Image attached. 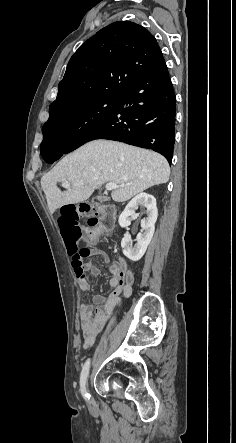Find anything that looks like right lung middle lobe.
<instances>
[{
  "mask_svg": "<svg viewBox=\"0 0 236 443\" xmlns=\"http://www.w3.org/2000/svg\"><path fill=\"white\" fill-rule=\"evenodd\" d=\"M118 96L99 95L67 111L49 117L42 128L46 146H67L71 140L85 132L92 124L104 116L113 106Z\"/></svg>",
  "mask_w": 236,
  "mask_h": 443,
  "instance_id": "1",
  "label": "right lung middle lobe"
}]
</instances>
